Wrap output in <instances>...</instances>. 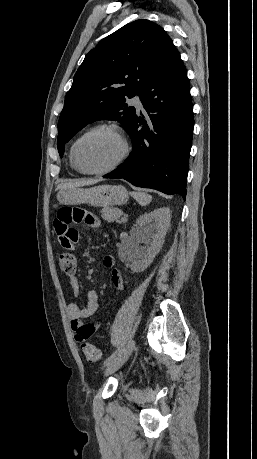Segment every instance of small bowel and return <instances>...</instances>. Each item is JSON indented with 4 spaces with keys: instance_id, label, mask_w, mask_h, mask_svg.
I'll list each match as a JSON object with an SVG mask.
<instances>
[{
    "instance_id": "c3829d8e",
    "label": "small bowel",
    "mask_w": 257,
    "mask_h": 459,
    "mask_svg": "<svg viewBox=\"0 0 257 459\" xmlns=\"http://www.w3.org/2000/svg\"><path fill=\"white\" fill-rule=\"evenodd\" d=\"M53 225L57 236L60 237L62 250L78 251L80 237L76 226H85L86 229H101L102 222L95 218V210L91 208V205H60L59 211H56V217L53 218ZM103 264L107 268H113L115 266V258L107 255L103 259ZM111 280L118 291H124V279L119 270H112ZM69 285L73 295L76 297L79 294L80 286L75 275L69 277ZM98 307L99 296L95 290H89L86 293L84 306L81 307L76 303L68 305L67 314L77 342H85L101 326L100 322H85L87 318L97 311Z\"/></svg>"
}]
</instances>
